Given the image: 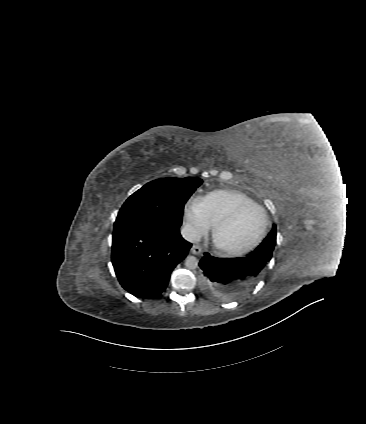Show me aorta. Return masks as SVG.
Returning <instances> with one entry per match:
<instances>
[{
    "mask_svg": "<svg viewBox=\"0 0 366 424\" xmlns=\"http://www.w3.org/2000/svg\"><path fill=\"white\" fill-rule=\"evenodd\" d=\"M185 266L188 269H196L198 267V259L195 256L189 255L185 259Z\"/></svg>",
    "mask_w": 366,
    "mask_h": 424,
    "instance_id": "1",
    "label": "aorta"
}]
</instances>
